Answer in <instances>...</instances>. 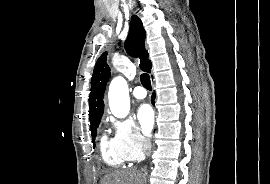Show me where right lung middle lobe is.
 Returning <instances> with one entry per match:
<instances>
[{"label": "right lung middle lobe", "instance_id": "right-lung-middle-lobe-1", "mask_svg": "<svg viewBox=\"0 0 270 184\" xmlns=\"http://www.w3.org/2000/svg\"><path fill=\"white\" fill-rule=\"evenodd\" d=\"M99 123H100V121H98V122H95V123H93L92 125H90V127H91V135H92V140H93V144H95V137H96V133H97V128H98V126H99Z\"/></svg>", "mask_w": 270, "mask_h": 184}]
</instances>
